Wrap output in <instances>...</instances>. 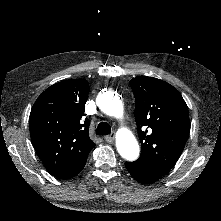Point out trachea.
<instances>
[{
	"mask_svg": "<svg viewBox=\"0 0 221 221\" xmlns=\"http://www.w3.org/2000/svg\"><path fill=\"white\" fill-rule=\"evenodd\" d=\"M111 133V127L107 122H101L98 124L96 134L99 136H105Z\"/></svg>",
	"mask_w": 221,
	"mask_h": 221,
	"instance_id": "obj_1",
	"label": "trachea"
}]
</instances>
